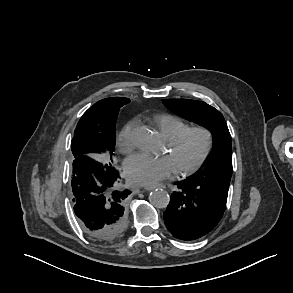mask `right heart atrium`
<instances>
[{"label":"right heart atrium","instance_id":"1","mask_svg":"<svg viewBox=\"0 0 293 293\" xmlns=\"http://www.w3.org/2000/svg\"><path fill=\"white\" fill-rule=\"evenodd\" d=\"M137 125V120H131L123 126L117 136V147L119 152L123 154H128L133 150V132Z\"/></svg>","mask_w":293,"mask_h":293}]
</instances>
